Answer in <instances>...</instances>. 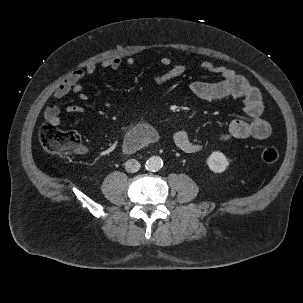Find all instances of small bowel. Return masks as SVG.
I'll return each mask as SVG.
<instances>
[{
	"label": "small bowel",
	"mask_w": 303,
	"mask_h": 303,
	"mask_svg": "<svg viewBox=\"0 0 303 303\" xmlns=\"http://www.w3.org/2000/svg\"><path fill=\"white\" fill-rule=\"evenodd\" d=\"M133 66L135 60L132 57L123 59L113 57L102 61L101 66L105 69H119L123 65ZM160 64L165 68L164 72L153 80L155 87H161L165 83L184 75L187 71L185 64H173L168 56L160 59ZM201 69L213 72L221 76L216 82L195 81L189 85V90L195 97L205 101H217L229 97L241 98L244 104L246 119L232 120L227 130L220 135V140L235 139H266L271 133V126L262 117L263 101L258 88L246 77L237 74L234 70L216 65L211 61L201 63ZM96 71L95 64H89L84 68L71 72L53 91L55 99H61L68 93L73 92L80 100L86 101L89 96L84 92L82 80L91 76ZM66 111L71 114H84L85 109L76 104L67 106ZM60 107L52 104L46 107L44 117L47 123L58 126L61 123ZM174 144L186 153H194L202 149V144L193 139L186 130H178L173 135Z\"/></svg>",
	"instance_id": "1"
}]
</instances>
